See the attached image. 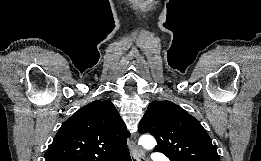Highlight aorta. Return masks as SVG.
Returning a JSON list of instances; mask_svg holds the SVG:
<instances>
[{
    "label": "aorta",
    "mask_w": 261,
    "mask_h": 161,
    "mask_svg": "<svg viewBox=\"0 0 261 161\" xmlns=\"http://www.w3.org/2000/svg\"><path fill=\"white\" fill-rule=\"evenodd\" d=\"M139 144L145 149L151 150L155 147L156 141L151 135H143L139 139Z\"/></svg>",
    "instance_id": "aorta-1"
}]
</instances>
